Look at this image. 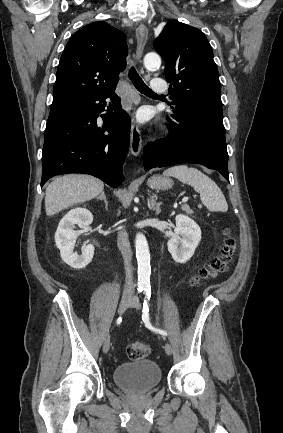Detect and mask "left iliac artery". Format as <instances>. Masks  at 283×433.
I'll use <instances>...</instances> for the list:
<instances>
[{
    "label": "left iliac artery",
    "mask_w": 283,
    "mask_h": 433,
    "mask_svg": "<svg viewBox=\"0 0 283 433\" xmlns=\"http://www.w3.org/2000/svg\"><path fill=\"white\" fill-rule=\"evenodd\" d=\"M144 290H145V299H144V303H143L142 320L144 321L145 325L149 329H151V330H153V331H155L161 335L167 336V331L162 330V329L153 328L152 325L150 324V321H149V300L151 297V289H150V287H146Z\"/></svg>",
    "instance_id": "1"
}]
</instances>
